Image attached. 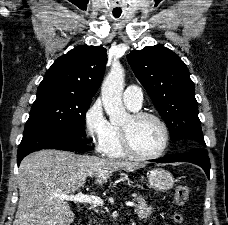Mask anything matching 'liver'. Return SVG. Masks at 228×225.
I'll return each mask as SVG.
<instances>
[{
    "label": "liver",
    "mask_w": 228,
    "mask_h": 225,
    "mask_svg": "<svg viewBox=\"0 0 228 225\" xmlns=\"http://www.w3.org/2000/svg\"><path fill=\"white\" fill-rule=\"evenodd\" d=\"M137 163L108 161L68 151H36L21 161L18 173L19 205L13 225H71L67 201L56 195H75L87 177L104 185L115 171H134Z\"/></svg>",
    "instance_id": "1"
}]
</instances>
